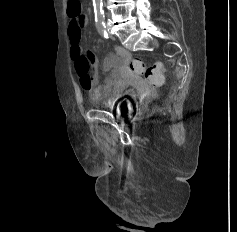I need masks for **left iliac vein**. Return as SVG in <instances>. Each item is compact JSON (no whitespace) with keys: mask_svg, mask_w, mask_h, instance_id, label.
I'll use <instances>...</instances> for the list:
<instances>
[{"mask_svg":"<svg viewBox=\"0 0 237 232\" xmlns=\"http://www.w3.org/2000/svg\"><path fill=\"white\" fill-rule=\"evenodd\" d=\"M108 33H109L111 39H114V36L109 32V30H108Z\"/></svg>","mask_w":237,"mask_h":232,"instance_id":"left-iliac-vein-1","label":"left iliac vein"}]
</instances>
